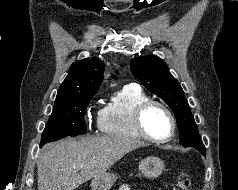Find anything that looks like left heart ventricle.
Listing matches in <instances>:
<instances>
[{"label":"left heart ventricle","mask_w":238,"mask_h":190,"mask_svg":"<svg viewBox=\"0 0 238 190\" xmlns=\"http://www.w3.org/2000/svg\"><path fill=\"white\" fill-rule=\"evenodd\" d=\"M147 131L155 137H165L169 134L171 123L168 115L159 107L150 108L144 117Z\"/></svg>","instance_id":"1"}]
</instances>
